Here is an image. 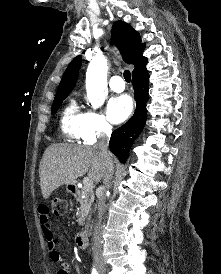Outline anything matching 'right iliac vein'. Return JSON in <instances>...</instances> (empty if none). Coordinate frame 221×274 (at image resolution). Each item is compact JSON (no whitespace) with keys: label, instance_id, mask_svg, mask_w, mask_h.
<instances>
[{"label":"right iliac vein","instance_id":"obj_1","mask_svg":"<svg viewBox=\"0 0 221 274\" xmlns=\"http://www.w3.org/2000/svg\"><path fill=\"white\" fill-rule=\"evenodd\" d=\"M98 272H99V274H105L106 270L103 266H99L98 267Z\"/></svg>","mask_w":221,"mask_h":274}]
</instances>
